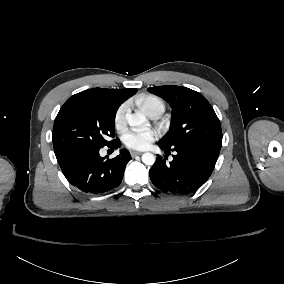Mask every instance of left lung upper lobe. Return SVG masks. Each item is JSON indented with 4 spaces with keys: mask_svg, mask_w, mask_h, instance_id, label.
I'll return each instance as SVG.
<instances>
[{
    "mask_svg": "<svg viewBox=\"0 0 284 284\" xmlns=\"http://www.w3.org/2000/svg\"><path fill=\"white\" fill-rule=\"evenodd\" d=\"M172 107L169 132L160 140L168 146L202 144L219 150L222 145L220 121L210 103L198 92L181 86L148 88Z\"/></svg>",
    "mask_w": 284,
    "mask_h": 284,
    "instance_id": "1",
    "label": "left lung upper lobe"
}]
</instances>
